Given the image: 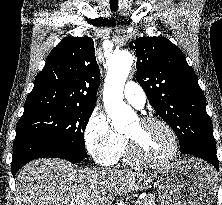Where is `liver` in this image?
Instances as JSON below:
<instances>
[{
	"instance_id": "6515ba94",
	"label": "liver",
	"mask_w": 222,
	"mask_h": 205,
	"mask_svg": "<svg viewBox=\"0 0 222 205\" xmlns=\"http://www.w3.org/2000/svg\"><path fill=\"white\" fill-rule=\"evenodd\" d=\"M155 177L131 170H77L65 160L42 158L18 174L15 205H110L114 196L141 190Z\"/></svg>"
}]
</instances>
